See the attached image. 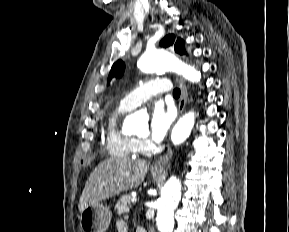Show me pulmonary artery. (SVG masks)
<instances>
[{
    "label": "pulmonary artery",
    "instance_id": "e3ab8cb5",
    "mask_svg": "<svg viewBox=\"0 0 289 232\" xmlns=\"http://www.w3.org/2000/svg\"><path fill=\"white\" fill-rule=\"evenodd\" d=\"M171 90V83L167 79H153L150 80L135 90L128 93L121 100L122 106L126 109H134L149 98L159 94L169 92Z\"/></svg>",
    "mask_w": 289,
    "mask_h": 232
}]
</instances>
